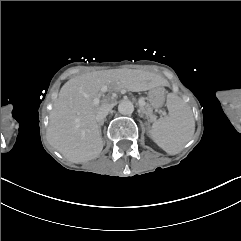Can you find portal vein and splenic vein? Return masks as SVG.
<instances>
[{
	"label": "portal vein and splenic vein",
	"instance_id": "obj_1",
	"mask_svg": "<svg viewBox=\"0 0 241 241\" xmlns=\"http://www.w3.org/2000/svg\"><path fill=\"white\" fill-rule=\"evenodd\" d=\"M140 105H145V100H140Z\"/></svg>",
	"mask_w": 241,
	"mask_h": 241
}]
</instances>
